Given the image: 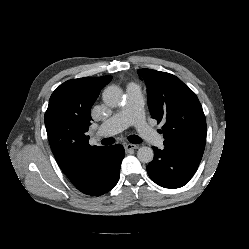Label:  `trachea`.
Here are the masks:
<instances>
[{
	"label": "trachea",
	"instance_id": "3493384b",
	"mask_svg": "<svg viewBox=\"0 0 249 249\" xmlns=\"http://www.w3.org/2000/svg\"><path fill=\"white\" fill-rule=\"evenodd\" d=\"M129 142L133 143V144H140L142 143V139L140 137H138L137 135H130L128 137ZM114 138H105L101 141V143L103 145H111L114 143Z\"/></svg>",
	"mask_w": 249,
	"mask_h": 249
}]
</instances>
